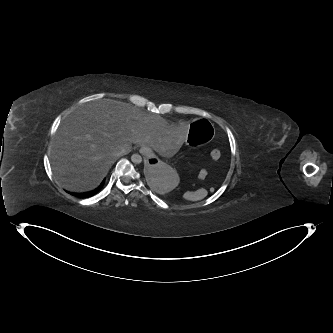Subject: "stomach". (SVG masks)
<instances>
[{
  "mask_svg": "<svg viewBox=\"0 0 333 333\" xmlns=\"http://www.w3.org/2000/svg\"><path fill=\"white\" fill-rule=\"evenodd\" d=\"M214 137L213 124L209 120L201 118L191 124L185 143L189 147L201 146L203 143L211 142ZM141 148L145 149V145L142 144ZM146 155L149 159V164L144 172L147 186L160 194L175 188L179 181L177 171L168 164L156 161L154 154L146 152Z\"/></svg>",
  "mask_w": 333,
  "mask_h": 333,
  "instance_id": "stomach-1",
  "label": "stomach"
}]
</instances>
